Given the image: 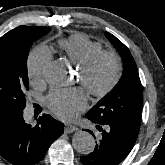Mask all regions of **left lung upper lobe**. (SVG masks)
<instances>
[{"instance_id":"5c2ea615","label":"left lung upper lobe","mask_w":165,"mask_h":165,"mask_svg":"<svg viewBox=\"0 0 165 165\" xmlns=\"http://www.w3.org/2000/svg\"><path fill=\"white\" fill-rule=\"evenodd\" d=\"M108 40L119 52L123 73L117 85L86 116L97 122H111L139 131L142 89L138 69L129 49L114 35Z\"/></svg>"}]
</instances>
